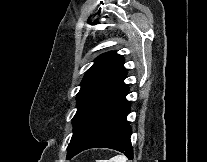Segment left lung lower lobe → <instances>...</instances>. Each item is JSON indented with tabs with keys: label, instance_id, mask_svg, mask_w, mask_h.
<instances>
[{
	"label": "left lung lower lobe",
	"instance_id": "1",
	"mask_svg": "<svg viewBox=\"0 0 207 162\" xmlns=\"http://www.w3.org/2000/svg\"><path fill=\"white\" fill-rule=\"evenodd\" d=\"M127 93L128 86L124 85L97 108L67 149V160L83 150L98 147L115 149L133 159L132 130L126 119L130 111Z\"/></svg>",
	"mask_w": 207,
	"mask_h": 162
}]
</instances>
